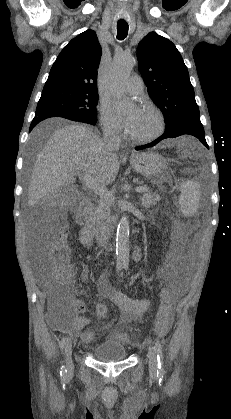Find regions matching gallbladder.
<instances>
[{
  "instance_id": "obj_1",
  "label": "gallbladder",
  "mask_w": 231,
  "mask_h": 419,
  "mask_svg": "<svg viewBox=\"0 0 231 419\" xmlns=\"http://www.w3.org/2000/svg\"><path fill=\"white\" fill-rule=\"evenodd\" d=\"M61 199V197L59 196V194H57V195H55V196H52V197H50V198H48L47 199V202H56V201H58V200H60Z\"/></svg>"
}]
</instances>
